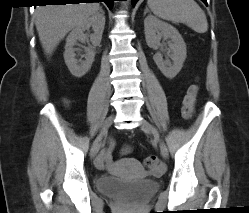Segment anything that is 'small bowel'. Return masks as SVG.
Segmentation results:
<instances>
[{
	"label": "small bowel",
	"instance_id": "small-bowel-1",
	"mask_svg": "<svg viewBox=\"0 0 249 213\" xmlns=\"http://www.w3.org/2000/svg\"><path fill=\"white\" fill-rule=\"evenodd\" d=\"M113 147H114V143L111 142L110 146L106 150L102 151L99 154V156L97 157V159L95 161V164L98 168L107 169L110 171L115 169V164H114L113 159H112ZM128 150L129 149L126 147L124 150V153H127Z\"/></svg>",
	"mask_w": 249,
	"mask_h": 213
}]
</instances>
